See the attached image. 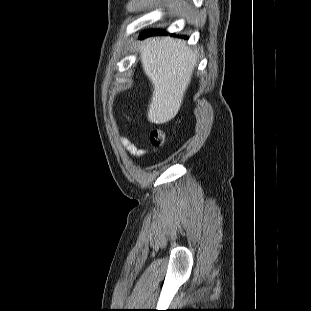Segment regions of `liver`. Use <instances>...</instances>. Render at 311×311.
Wrapping results in <instances>:
<instances>
[{
	"mask_svg": "<svg viewBox=\"0 0 311 311\" xmlns=\"http://www.w3.org/2000/svg\"><path fill=\"white\" fill-rule=\"evenodd\" d=\"M139 50L144 73L154 89L148 120L155 124L166 123L181 107L196 66V53L185 41L172 37L146 39Z\"/></svg>",
	"mask_w": 311,
	"mask_h": 311,
	"instance_id": "1",
	"label": "liver"
}]
</instances>
